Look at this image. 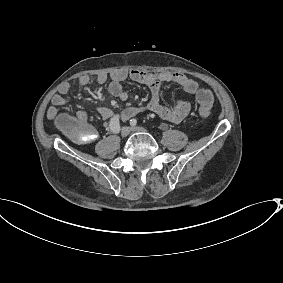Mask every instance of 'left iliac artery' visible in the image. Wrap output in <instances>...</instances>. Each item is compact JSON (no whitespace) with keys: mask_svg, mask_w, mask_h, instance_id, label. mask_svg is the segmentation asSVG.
Wrapping results in <instances>:
<instances>
[{"mask_svg":"<svg viewBox=\"0 0 283 283\" xmlns=\"http://www.w3.org/2000/svg\"><path fill=\"white\" fill-rule=\"evenodd\" d=\"M130 125H132V126L137 125V120L136 119H131L130 120Z\"/></svg>","mask_w":283,"mask_h":283,"instance_id":"44dca946","label":"left iliac artery"}]
</instances>
